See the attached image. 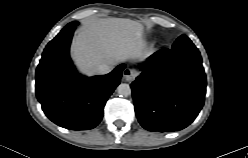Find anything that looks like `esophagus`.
Listing matches in <instances>:
<instances>
[{
    "label": "esophagus",
    "instance_id": "34e87169",
    "mask_svg": "<svg viewBox=\"0 0 248 158\" xmlns=\"http://www.w3.org/2000/svg\"><path fill=\"white\" fill-rule=\"evenodd\" d=\"M136 72L133 69L125 68L123 70V79L127 82H131L136 77Z\"/></svg>",
    "mask_w": 248,
    "mask_h": 158
}]
</instances>
